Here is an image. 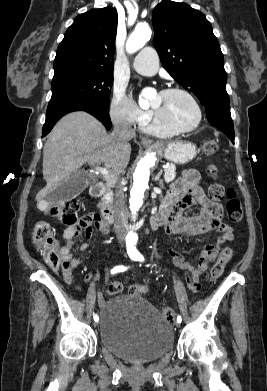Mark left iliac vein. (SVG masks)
I'll use <instances>...</instances> for the list:
<instances>
[{"instance_id":"1","label":"left iliac vein","mask_w":267,"mask_h":391,"mask_svg":"<svg viewBox=\"0 0 267 391\" xmlns=\"http://www.w3.org/2000/svg\"><path fill=\"white\" fill-rule=\"evenodd\" d=\"M176 326H177V327H180V323H179V322H176Z\"/></svg>"}]
</instances>
